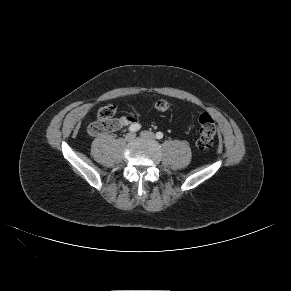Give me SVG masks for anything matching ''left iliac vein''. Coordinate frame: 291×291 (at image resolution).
<instances>
[{"instance_id":"left-iliac-vein-1","label":"left iliac vein","mask_w":291,"mask_h":291,"mask_svg":"<svg viewBox=\"0 0 291 291\" xmlns=\"http://www.w3.org/2000/svg\"><path fill=\"white\" fill-rule=\"evenodd\" d=\"M141 137H144V138H149V139H154L155 138V135L154 133L150 132V131H142L140 133Z\"/></svg>"}]
</instances>
